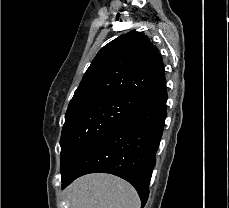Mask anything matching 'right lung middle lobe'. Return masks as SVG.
<instances>
[{
    "label": "right lung middle lobe",
    "mask_w": 229,
    "mask_h": 208,
    "mask_svg": "<svg viewBox=\"0 0 229 208\" xmlns=\"http://www.w3.org/2000/svg\"><path fill=\"white\" fill-rule=\"evenodd\" d=\"M143 104L130 97L106 95L87 100L68 109L62 129L61 176L95 140L137 111Z\"/></svg>",
    "instance_id": "right-lung-middle-lobe-1"
}]
</instances>
